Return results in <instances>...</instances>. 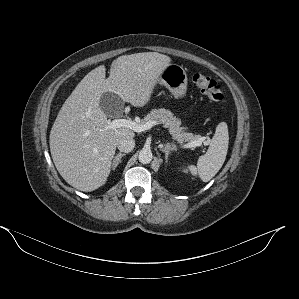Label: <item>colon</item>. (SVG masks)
<instances>
[{
    "instance_id": "obj_1",
    "label": "colon",
    "mask_w": 299,
    "mask_h": 299,
    "mask_svg": "<svg viewBox=\"0 0 299 299\" xmlns=\"http://www.w3.org/2000/svg\"><path fill=\"white\" fill-rule=\"evenodd\" d=\"M194 85L213 102H220L224 94L215 80L202 73H195L192 77Z\"/></svg>"
}]
</instances>
